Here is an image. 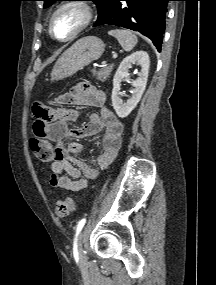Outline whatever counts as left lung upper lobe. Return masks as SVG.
<instances>
[{
	"mask_svg": "<svg viewBox=\"0 0 216 285\" xmlns=\"http://www.w3.org/2000/svg\"><path fill=\"white\" fill-rule=\"evenodd\" d=\"M42 1H44V8H48L56 1H62V0H42ZM89 1H93L96 4L98 8L97 20H99L107 13L114 0H89Z\"/></svg>",
	"mask_w": 216,
	"mask_h": 285,
	"instance_id": "5c2ea615",
	"label": "left lung upper lobe"
}]
</instances>
